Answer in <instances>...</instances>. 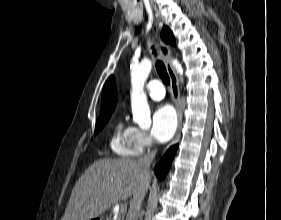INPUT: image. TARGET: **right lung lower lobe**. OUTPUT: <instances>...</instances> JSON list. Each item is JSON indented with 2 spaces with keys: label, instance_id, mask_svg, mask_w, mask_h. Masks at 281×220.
Here are the masks:
<instances>
[{
  "label": "right lung lower lobe",
  "instance_id": "1",
  "mask_svg": "<svg viewBox=\"0 0 281 220\" xmlns=\"http://www.w3.org/2000/svg\"><path fill=\"white\" fill-rule=\"evenodd\" d=\"M176 151L177 145L170 147L163 158L160 160V162L155 166L154 172L160 180H163L168 173Z\"/></svg>",
  "mask_w": 281,
  "mask_h": 220
}]
</instances>
